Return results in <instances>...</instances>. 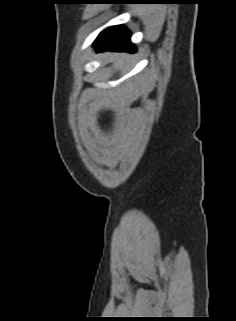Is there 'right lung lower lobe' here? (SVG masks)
Wrapping results in <instances>:
<instances>
[{"instance_id": "1", "label": "right lung lower lobe", "mask_w": 236, "mask_h": 321, "mask_svg": "<svg viewBox=\"0 0 236 321\" xmlns=\"http://www.w3.org/2000/svg\"><path fill=\"white\" fill-rule=\"evenodd\" d=\"M97 51L116 50L135 52V46L130 42V33L123 26H113L105 29L94 42Z\"/></svg>"}]
</instances>
